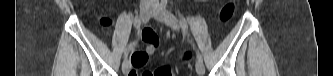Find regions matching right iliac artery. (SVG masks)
I'll use <instances>...</instances> for the list:
<instances>
[{"mask_svg": "<svg viewBox=\"0 0 333 76\" xmlns=\"http://www.w3.org/2000/svg\"><path fill=\"white\" fill-rule=\"evenodd\" d=\"M134 25H135V27H136V29H137L138 34H139L140 31H141V20H140L139 17H136V18H135ZM135 44H136V42L134 41V42H132V43H130V44L128 45V47L126 48L125 53H124L125 58H127L129 52H130L131 50H133Z\"/></svg>", "mask_w": 333, "mask_h": 76, "instance_id": "1", "label": "right iliac artery"}]
</instances>
